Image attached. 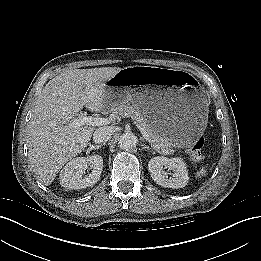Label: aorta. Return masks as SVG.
Wrapping results in <instances>:
<instances>
[{
    "label": "aorta",
    "mask_w": 261,
    "mask_h": 261,
    "mask_svg": "<svg viewBox=\"0 0 261 261\" xmlns=\"http://www.w3.org/2000/svg\"><path fill=\"white\" fill-rule=\"evenodd\" d=\"M118 144L122 150H131L137 144V137L131 132L123 133L118 140Z\"/></svg>",
    "instance_id": "762f6f07"
}]
</instances>
